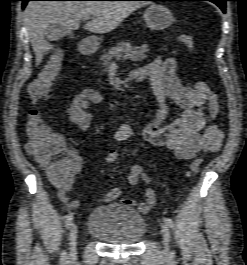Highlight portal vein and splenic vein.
I'll use <instances>...</instances> for the list:
<instances>
[{
	"instance_id": "portal-vein-and-splenic-vein-1",
	"label": "portal vein and splenic vein",
	"mask_w": 247,
	"mask_h": 265,
	"mask_svg": "<svg viewBox=\"0 0 247 265\" xmlns=\"http://www.w3.org/2000/svg\"><path fill=\"white\" fill-rule=\"evenodd\" d=\"M84 20H89L90 19V16L89 15H86L83 17Z\"/></svg>"
}]
</instances>
